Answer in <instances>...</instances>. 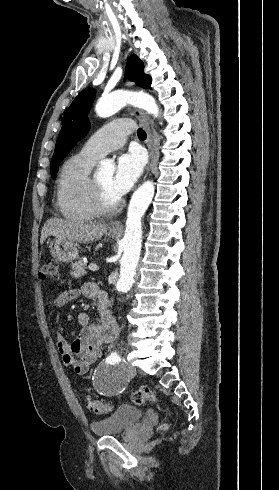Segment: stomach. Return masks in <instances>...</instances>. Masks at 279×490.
<instances>
[{
    "label": "stomach",
    "mask_w": 279,
    "mask_h": 490,
    "mask_svg": "<svg viewBox=\"0 0 279 490\" xmlns=\"http://www.w3.org/2000/svg\"><path fill=\"white\" fill-rule=\"evenodd\" d=\"M109 238H116L117 232H111L109 228ZM49 252L58 262H73L79 256V248L74 242H64V240H52L49 242Z\"/></svg>",
    "instance_id": "obj_1"
}]
</instances>
